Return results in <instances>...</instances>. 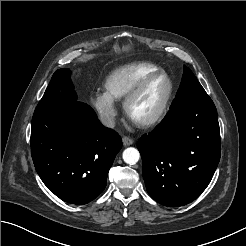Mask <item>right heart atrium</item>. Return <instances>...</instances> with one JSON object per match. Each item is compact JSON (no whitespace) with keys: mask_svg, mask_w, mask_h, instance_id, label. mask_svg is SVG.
Wrapping results in <instances>:
<instances>
[{"mask_svg":"<svg viewBox=\"0 0 246 246\" xmlns=\"http://www.w3.org/2000/svg\"><path fill=\"white\" fill-rule=\"evenodd\" d=\"M92 103L101 118L107 124H113L117 116L114 100L106 92H97L93 97Z\"/></svg>","mask_w":246,"mask_h":246,"instance_id":"obj_1","label":"right heart atrium"}]
</instances>
